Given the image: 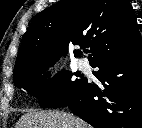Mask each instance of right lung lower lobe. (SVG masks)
I'll use <instances>...</instances> for the list:
<instances>
[{"mask_svg":"<svg viewBox=\"0 0 142 128\" xmlns=\"http://www.w3.org/2000/svg\"><path fill=\"white\" fill-rule=\"evenodd\" d=\"M92 67L102 86L86 79L69 109L95 128H142V45Z\"/></svg>","mask_w":142,"mask_h":128,"instance_id":"1","label":"right lung lower lobe"}]
</instances>
